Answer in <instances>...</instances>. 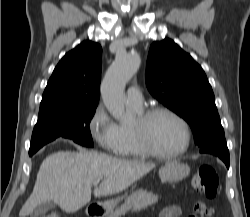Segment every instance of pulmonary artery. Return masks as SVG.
Listing matches in <instances>:
<instances>
[{"instance_id": "e3ab8cb5", "label": "pulmonary artery", "mask_w": 250, "mask_h": 217, "mask_svg": "<svg viewBox=\"0 0 250 217\" xmlns=\"http://www.w3.org/2000/svg\"><path fill=\"white\" fill-rule=\"evenodd\" d=\"M127 101L133 108H142L144 103V97L139 86L131 85L127 89Z\"/></svg>"}]
</instances>
